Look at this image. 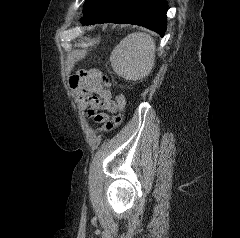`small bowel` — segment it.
<instances>
[{
  "label": "small bowel",
  "instance_id": "c3829d8e",
  "mask_svg": "<svg viewBox=\"0 0 240 238\" xmlns=\"http://www.w3.org/2000/svg\"><path fill=\"white\" fill-rule=\"evenodd\" d=\"M100 75L98 70H81L69 80L70 87L80 102L88 106V116L98 123L107 120L108 113L114 114L119 109L111 92L103 87ZM100 110L105 112H99Z\"/></svg>",
  "mask_w": 240,
  "mask_h": 238
}]
</instances>
